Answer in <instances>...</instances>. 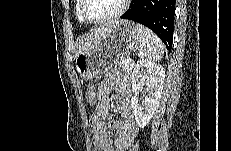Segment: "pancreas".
Returning <instances> with one entry per match:
<instances>
[{
    "label": "pancreas",
    "mask_w": 231,
    "mask_h": 151,
    "mask_svg": "<svg viewBox=\"0 0 231 151\" xmlns=\"http://www.w3.org/2000/svg\"><path fill=\"white\" fill-rule=\"evenodd\" d=\"M116 65L125 73L127 74H131L132 70L134 68V64L133 63H125L124 60H120L116 63Z\"/></svg>",
    "instance_id": "1"
}]
</instances>
